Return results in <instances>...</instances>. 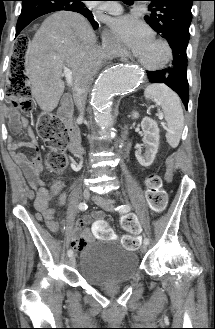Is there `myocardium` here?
<instances>
[{
    "label": "myocardium",
    "instance_id": "obj_1",
    "mask_svg": "<svg viewBox=\"0 0 215 329\" xmlns=\"http://www.w3.org/2000/svg\"><path fill=\"white\" fill-rule=\"evenodd\" d=\"M153 41L157 43L164 51L163 59L157 64H148L143 62L138 55H135L136 62L144 69L149 71H159L166 68L173 58V50L170 44L163 38H154Z\"/></svg>",
    "mask_w": 215,
    "mask_h": 329
}]
</instances>
